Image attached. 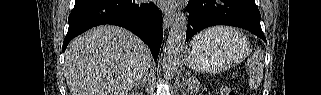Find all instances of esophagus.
Wrapping results in <instances>:
<instances>
[{
    "mask_svg": "<svg viewBox=\"0 0 321 95\" xmlns=\"http://www.w3.org/2000/svg\"><path fill=\"white\" fill-rule=\"evenodd\" d=\"M163 15L164 26L167 29L173 24L175 20V13L172 11L165 10Z\"/></svg>",
    "mask_w": 321,
    "mask_h": 95,
    "instance_id": "esophagus-1",
    "label": "esophagus"
}]
</instances>
